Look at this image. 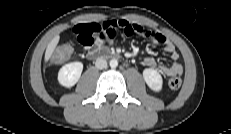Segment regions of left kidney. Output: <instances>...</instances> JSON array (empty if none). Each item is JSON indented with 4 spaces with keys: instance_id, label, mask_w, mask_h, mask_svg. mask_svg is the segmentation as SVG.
I'll return each instance as SVG.
<instances>
[{
    "instance_id": "left-kidney-1",
    "label": "left kidney",
    "mask_w": 231,
    "mask_h": 134,
    "mask_svg": "<svg viewBox=\"0 0 231 134\" xmlns=\"http://www.w3.org/2000/svg\"><path fill=\"white\" fill-rule=\"evenodd\" d=\"M143 78L151 90L155 92H160L162 90L163 80L157 70L152 68L144 69Z\"/></svg>"
}]
</instances>
